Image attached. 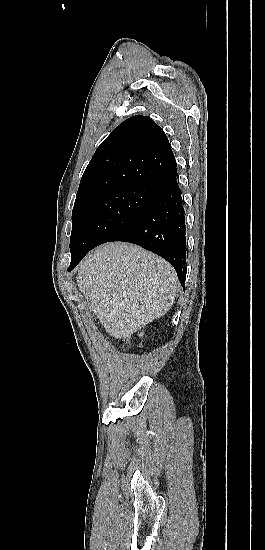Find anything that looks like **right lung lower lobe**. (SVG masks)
<instances>
[{"instance_id":"98d812e1","label":"right lung lower lobe","mask_w":265,"mask_h":550,"mask_svg":"<svg viewBox=\"0 0 265 550\" xmlns=\"http://www.w3.org/2000/svg\"><path fill=\"white\" fill-rule=\"evenodd\" d=\"M176 167L160 182L152 200L140 216L110 241L135 243L171 263L184 287L186 279L185 212ZM79 263V262H78ZM68 270L71 271L78 264Z\"/></svg>"}]
</instances>
